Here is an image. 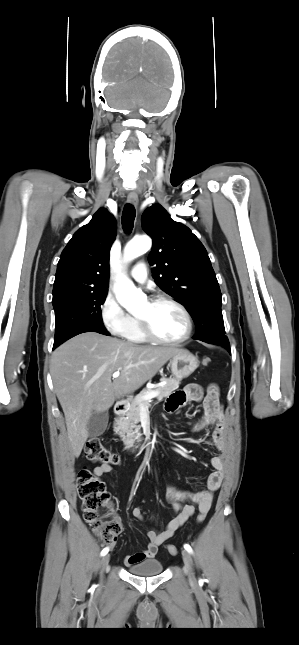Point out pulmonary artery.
Segmentation results:
<instances>
[{"label": "pulmonary artery", "mask_w": 299, "mask_h": 645, "mask_svg": "<svg viewBox=\"0 0 299 645\" xmlns=\"http://www.w3.org/2000/svg\"><path fill=\"white\" fill-rule=\"evenodd\" d=\"M131 277L139 282L144 283L147 280L148 272L146 264L143 262L137 263L130 272Z\"/></svg>", "instance_id": "1"}]
</instances>
